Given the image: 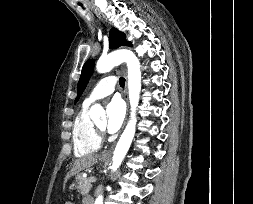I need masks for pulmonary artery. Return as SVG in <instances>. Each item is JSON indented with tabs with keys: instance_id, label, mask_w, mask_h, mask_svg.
<instances>
[{
	"instance_id": "pulmonary-artery-1",
	"label": "pulmonary artery",
	"mask_w": 253,
	"mask_h": 204,
	"mask_svg": "<svg viewBox=\"0 0 253 204\" xmlns=\"http://www.w3.org/2000/svg\"><path fill=\"white\" fill-rule=\"evenodd\" d=\"M116 83V76H107L102 78L85 99L84 104L90 105L95 101L109 96L114 92Z\"/></svg>"
}]
</instances>
